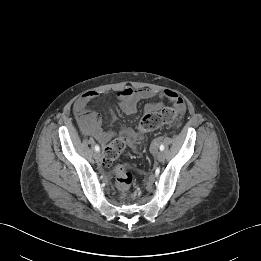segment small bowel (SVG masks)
Listing matches in <instances>:
<instances>
[{
    "mask_svg": "<svg viewBox=\"0 0 261 261\" xmlns=\"http://www.w3.org/2000/svg\"><path fill=\"white\" fill-rule=\"evenodd\" d=\"M159 95L171 102L178 110H184L185 104L182 97L172 90H165L160 94L159 92L148 88L135 89L130 86H126L118 91L117 98L119 100L121 110L125 114L130 115L136 112L140 101L153 99ZM98 96L99 95L97 92L89 91L80 96L74 104V109L79 118L83 131L101 143H107L115 135L124 137L133 136L135 133L127 127H121L118 132L105 130L103 128L104 122L101 115L97 112L87 110L88 104L97 99ZM161 107L162 104L160 102L148 103L145 106V113L161 110ZM110 114L111 121H115V116L112 111H110Z\"/></svg>",
    "mask_w": 261,
    "mask_h": 261,
    "instance_id": "c3829d8e",
    "label": "small bowel"
}]
</instances>
